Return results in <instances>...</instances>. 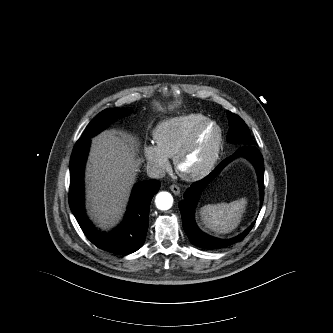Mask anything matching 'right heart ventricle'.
<instances>
[{"label":"right heart ventricle","mask_w":333,"mask_h":333,"mask_svg":"<svg viewBox=\"0 0 333 333\" xmlns=\"http://www.w3.org/2000/svg\"><path fill=\"white\" fill-rule=\"evenodd\" d=\"M206 120L207 117L200 113L164 120L153 131L155 145L166 157L174 158L194 130Z\"/></svg>","instance_id":"obj_1"}]
</instances>
